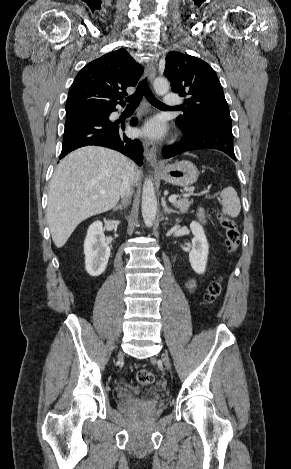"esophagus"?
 Returning <instances> with one entry per match:
<instances>
[{"instance_id":"obj_1","label":"esophagus","mask_w":291,"mask_h":469,"mask_svg":"<svg viewBox=\"0 0 291 469\" xmlns=\"http://www.w3.org/2000/svg\"><path fill=\"white\" fill-rule=\"evenodd\" d=\"M145 75L148 77L150 83H152L156 75V66L154 62H151L146 66ZM142 144L144 147L145 157L150 162V164L154 167L160 166L161 163L157 160L156 146L152 142L145 139H142Z\"/></svg>"}]
</instances>
